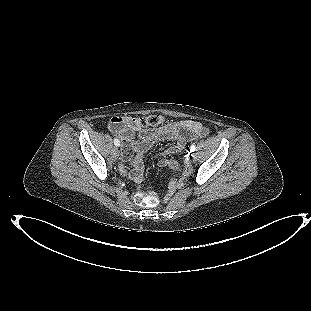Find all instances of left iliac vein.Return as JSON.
<instances>
[{
	"mask_svg": "<svg viewBox=\"0 0 311 311\" xmlns=\"http://www.w3.org/2000/svg\"><path fill=\"white\" fill-rule=\"evenodd\" d=\"M195 160H196V157H195V154L193 153V154L191 155V161H192V162H195Z\"/></svg>",
	"mask_w": 311,
	"mask_h": 311,
	"instance_id": "obj_1",
	"label": "left iliac vein"
}]
</instances>
